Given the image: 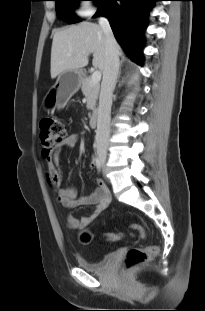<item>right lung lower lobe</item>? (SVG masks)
I'll return each mask as SVG.
<instances>
[{
	"label": "right lung lower lobe",
	"instance_id": "98d812e1",
	"mask_svg": "<svg viewBox=\"0 0 205 311\" xmlns=\"http://www.w3.org/2000/svg\"><path fill=\"white\" fill-rule=\"evenodd\" d=\"M154 1L102 0L99 5L97 14L109 19L117 41L127 56L138 64H142L139 56L143 21Z\"/></svg>",
	"mask_w": 205,
	"mask_h": 311
}]
</instances>
